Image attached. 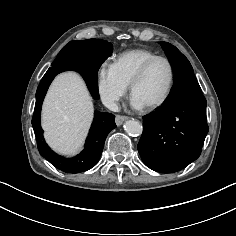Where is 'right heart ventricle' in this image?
I'll use <instances>...</instances> for the list:
<instances>
[{
  "instance_id": "e07e8e85",
  "label": "right heart ventricle",
  "mask_w": 236,
  "mask_h": 236,
  "mask_svg": "<svg viewBox=\"0 0 236 236\" xmlns=\"http://www.w3.org/2000/svg\"><path fill=\"white\" fill-rule=\"evenodd\" d=\"M156 56V53L148 49H130L119 53L114 58L112 66L119 78L129 86L141 66Z\"/></svg>"
}]
</instances>
